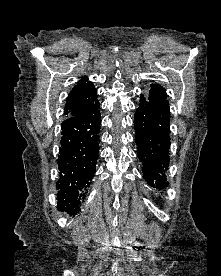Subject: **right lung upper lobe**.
Returning <instances> with one entry per match:
<instances>
[{
	"label": "right lung upper lobe",
	"mask_w": 221,
	"mask_h": 276,
	"mask_svg": "<svg viewBox=\"0 0 221 276\" xmlns=\"http://www.w3.org/2000/svg\"><path fill=\"white\" fill-rule=\"evenodd\" d=\"M97 102L96 89L87 77L78 81L67 97L64 115L76 117L83 115Z\"/></svg>",
	"instance_id": "obj_1"
}]
</instances>
